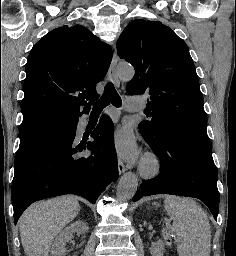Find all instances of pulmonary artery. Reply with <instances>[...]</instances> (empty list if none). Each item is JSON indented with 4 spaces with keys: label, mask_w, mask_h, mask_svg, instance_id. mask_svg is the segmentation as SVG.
I'll use <instances>...</instances> for the list:
<instances>
[{
    "label": "pulmonary artery",
    "mask_w": 236,
    "mask_h": 256,
    "mask_svg": "<svg viewBox=\"0 0 236 256\" xmlns=\"http://www.w3.org/2000/svg\"><path fill=\"white\" fill-rule=\"evenodd\" d=\"M128 109H142V96H127Z\"/></svg>",
    "instance_id": "pulmonary-artery-1"
}]
</instances>
